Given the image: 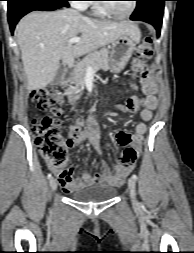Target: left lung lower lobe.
Returning <instances> with one entry per match:
<instances>
[{
	"label": "left lung lower lobe",
	"mask_w": 194,
	"mask_h": 253,
	"mask_svg": "<svg viewBox=\"0 0 194 253\" xmlns=\"http://www.w3.org/2000/svg\"><path fill=\"white\" fill-rule=\"evenodd\" d=\"M137 6L131 20H140L152 24L160 35L164 2L167 0H136Z\"/></svg>",
	"instance_id": "1"
}]
</instances>
